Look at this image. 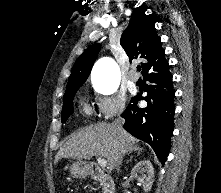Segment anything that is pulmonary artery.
Here are the masks:
<instances>
[{"label":"pulmonary artery","instance_id":"obj_1","mask_svg":"<svg viewBox=\"0 0 221 193\" xmlns=\"http://www.w3.org/2000/svg\"><path fill=\"white\" fill-rule=\"evenodd\" d=\"M129 79L131 82H137L138 79H139V75L136 71H132L130 74H129Z\"/></svg>","mask_w":221,"mask_h":193}]
</instances>
